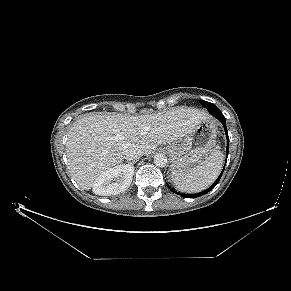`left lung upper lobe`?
Returning <instances> with one entry per match:
<instances>
[{
    "instance_id": "5c2ea615",
    "label": "left lung upper lobe",
    "mask_w": 291,
    "mask_h": 291,
    "mask_svg": "<svg viewBox=\"0 0 291 291\" xmlns=\"http://www.w3.org/2000/svg\"><path fill=\"white\" fill-rule=\"evenodd\" d=\"M201 104L207 108V110L211 113L213 111H218L219 109L212 103L204 101V100H200Z\"/></svg>"
}]
</instances>
